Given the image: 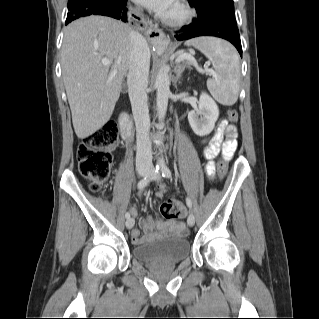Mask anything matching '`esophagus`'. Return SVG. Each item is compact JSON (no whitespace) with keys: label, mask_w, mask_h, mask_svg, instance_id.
Returning <instances> with one entry per match:
<instances>
[{"label":"esophagus","mask_w":319,"mask_h":319,"mask_svg":"<svg viewBox=\"0 0 319 319\" xmlns=\"http://www.w3.org/2000/svg\"><path fill=\"white\" fill-rule=\"evenodd\" d=\"M140 25L146 28V34H147L149 40H151L153 43H159V42L166 39L165 33L157 26L148 27L147 23L143 19L141 20Z\"/></svg>","instance_id":"obj_1"}]
</instances>
